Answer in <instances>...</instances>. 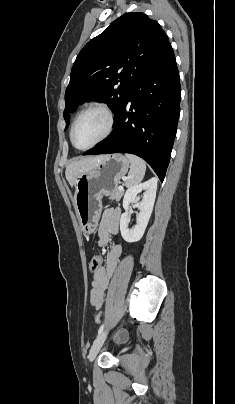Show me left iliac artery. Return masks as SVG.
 Wrapping results in <instances>:
<instances>
[{
  "mask_svg": "<svg viewBox=\"0 0 235 404\" xmlns=\"http://www.w3.org/2000/svg\"><path fill=\"white\" fill-rule=\"evenodd\" d=\"M103 329H104V324H102V325L100 326V328H99V330H98V335L102 333Z\"/></svg>",
  "mask_w": 235,
  "mask_h": 404,
  "instance_id": "44dca946",
  "label": "left iliac artery"
}]
</instances>
